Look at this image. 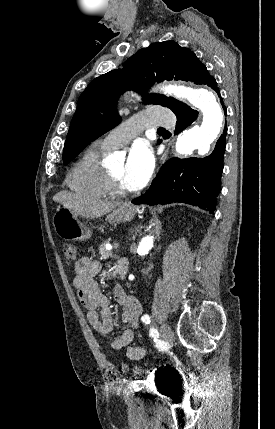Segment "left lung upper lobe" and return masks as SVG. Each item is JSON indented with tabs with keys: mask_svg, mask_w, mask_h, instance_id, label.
<instances>
[{
	"mask_svg": "<svg viewBox=\"0 0 275 429\" xmlns=\"http://www.w3.org/2000/svg\"><path fill=\"white\" fill-rule=\"evenodd\" d=\"M204 66L190 49L175 41H164L139 50L124 62L121 69L95 78L79 97L65 141L64 164L121 121L115 107L120 94L132 89L143 94L145 103L174 111L184 103L160 94L148 95L146 89L155 81L165 79L197 83Z\"/></svg>",
	"mask_w": 275,
	"mask_h": 429,
	"instance_id": "1",
	"label": "left lung upper lobe"
}]
</instances>
